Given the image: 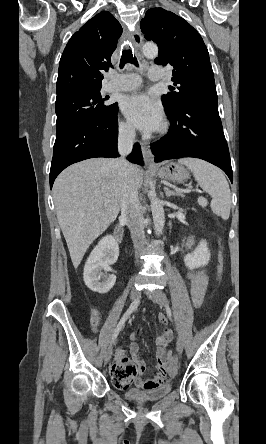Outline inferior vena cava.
<instances>
[{"label":"inferior vena cava","mask_w":266,"mask_h":444,"mask_svg":"<svg viewBox=\"0 0 266 444\" xmlns=\"http://www.w3.org/2000/svg\"><path fill=\"white\" fill-rule=\"evenodd\" d=\"M135 141V129L124 126L119 129L118 152L116 159L119 173L123 178L121 218L125 219L131 233L136 254L145 244L144 217L138 198V188L132 176L131 164L125 157L131 153Z\"/></svg>","instance_id":"602c4592"}]
</instances>
